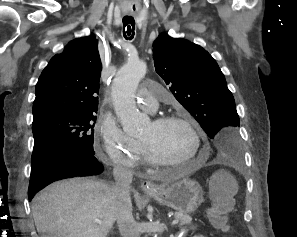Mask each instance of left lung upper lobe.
Here are the masks:
<instances>
[{"label":"left lung upper lobe","mask_w":297,"mask_h":237,"mask_svg":"<svg viewBox=\"0 0 297 237\" xmlns=\"http://www.w3.org/2000/svg\"><path fill=\"white\" fill-rule=\"evenodd\" d=\"M153 59L156 72L212 140L216 155L240 158L239 116L214 58L197 44L162 33L153 43Z\"/></svg>","instance_id":"1"}]
</instances>
